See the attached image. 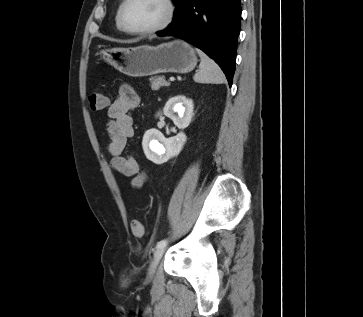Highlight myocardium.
I'll list each match as a JSON object with an SVG mask.
<instances>
[{"instance_id": "1", "label": "myocardium", "mask_w": 363, "mask_h": 317, "mask_svg": "<svg viewBox=\"0 0 363 317\" xmlns=\"http://www.w3.org/2000/svg\"><path fill=\"white\" fill-rule=\"evenodd\" d=\"M130 2V0H123L119 6L118 9V24L119 27L121 28V30H123L124 32L131 34V35H151V34H156L159 33L163 30H165L172 22L173 18H174V14H175V6L172 0H162V2L165 5L166 8V14L164 19L157 25L150 27V28H145V29H130L129 27L126 26L125 24V20H124V11L125 8L127 6V4Z\"/></svg>"}]
</instances>
